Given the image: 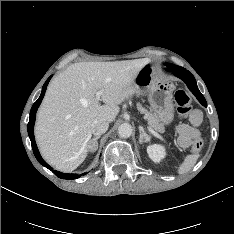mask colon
<instances>
[{"label": "colon", "instance_id": "5ec220e1", "mask_svg": "<svg viewBox=\"0 0 234 234\" xmlns=\"http://www.w3.org/2000/svg\"><path fill=\"white\" fill-rule=\"evenodd\" d=\"M174 98L178 113L184 117L191 116L193 111L189 95L184 90H178L176 91ZM203 147L204 141L202 139H197L193 142L191 151L194 154H199Z\"/></svg>", "mask_w": 234, "mask_h": 234}]
</instances>
